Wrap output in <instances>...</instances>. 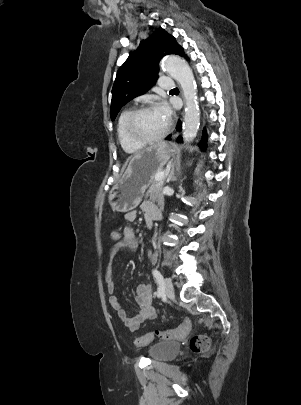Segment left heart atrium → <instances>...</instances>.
Here are the masks:
<instances>
[{"label":"left heart atrium","mask_w":301,"mask_h":405,"mask_svg":"<svg viewBox=\"0 0 301 405\" xmlns=\"http://www.w3.org/2000/svg\"><path fill=\"white\" fill-rule=\"evenodd\" d=\"M155 110L164 118L167 120V122L169 121L170 117H171V109L168 106V104L166 102H159L157 103V105L155 106Z\"/></svg>","instance_id":"1"}]
</instances>
